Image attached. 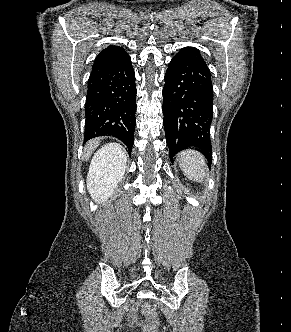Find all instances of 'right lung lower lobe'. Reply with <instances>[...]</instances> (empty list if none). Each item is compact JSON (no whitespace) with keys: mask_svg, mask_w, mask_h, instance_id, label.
<instances>
[{"mask_svg":"<svg viewBox=\"0 0 291 332\" xmlns=\"http://www.w3.org/2000/svg\"><path fill=\"white\" fill-rule=\"evenodd\" d=\"M135 74L130 57L94 65L85 103V141L101 135L119 138L131 152L136 126Z\"/></svg>","mask_w":291,"mask_h":332,"instance_id":"obj_1","label":"right lung lower lobe"}]
</instances>
